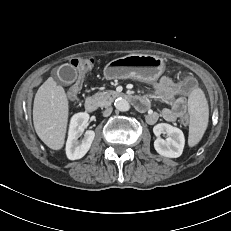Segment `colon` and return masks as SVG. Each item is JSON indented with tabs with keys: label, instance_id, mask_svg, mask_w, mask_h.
I'll list each match as a JSON object with an SVG mask.
<instances>
[{
	"label": "colon",
	"instance_id": "obj_1",
	"mask_svg": "<svg viewBox=\"0 0 231 231\" xmlns=\"http://www.w3.org/2000/svg\"><path fill=\"white\" fill-rule=\"evenodd\" d=\"M94 64V60L92 58H78L71 61V65L78 69V73L75 76V81L71 85L69 89V96L76 98L79 95V87L82 86L83 80L87 74V69H90ZM195 88V81L191 77H187L184 81L180 84L181 92L183 93H191ZM181 122L186 125L188 124V118L184 117L181 119Z\"/></svg>",
	"mask_w": 231,
	"mask_h": 231
}]
</instances>
